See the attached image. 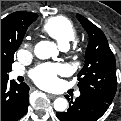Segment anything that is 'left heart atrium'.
Masks as SVG:
<instances>
[{
  "label": "left heart atrium",
  "mask_w": 121,
  "mask_h": 121,
  "mask_svg": "<svg viewBox=\"0 0 121 121\" xmlns=\"http://www.w3.org/2000/svg\"><path fill=\"white\" fill-rule=\"evenodd\" d=\"M62 70L59 64H43L33 71L32 79L43 88H51L57 83V76Z\"/></svg>",
  "instance_id": "left-heart-atrium-1"
}]
</instances>
